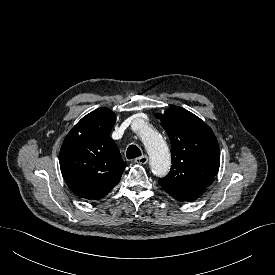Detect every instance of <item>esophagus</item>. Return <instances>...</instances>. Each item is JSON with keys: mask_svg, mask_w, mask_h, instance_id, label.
Instances as JSON below:
<instances>
[{"mask_svg": "<svg viewBox=\"0 0 275 275\" xmlns=\"http://www.w3.org/2000/svg\"><path fill=\"white\" fill-rule=\"evenodd\" d=\"M135 162L138 164H147L148 163V157L146 155H142L140 157H137L135 159Z\"/></svg>", "mask_w": 275, "mask_h": 275, "instance_id": "34e87169", "label": "esophagus"}]
</instances>
